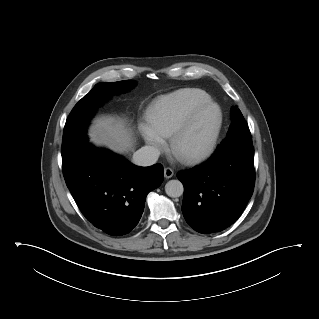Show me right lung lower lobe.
Returning <instances> with one entry per match:
<instances>
[{"label":"right lung lower lobe","mask_w":319,"mask_h":319,"mask_svg":"<svg viewBox=\"0 0 319 319\" xmlns=\"http://www.w3.org/2000/svg\"><path fill=\"white\" fill-rule=\"evenodd\" d=\"M64 178L81 212L111 236L138 224L147 194L163 182L161 164L138 167L124 158L80 140L62 157Z\"/></svg>","instance_id":"98d812e1"}]
</instances>
